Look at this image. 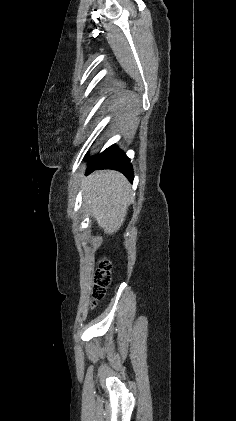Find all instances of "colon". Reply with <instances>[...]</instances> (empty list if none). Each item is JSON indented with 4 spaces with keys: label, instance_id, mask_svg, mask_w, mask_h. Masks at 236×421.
I'll return each mask as SVG.
<instances>
[{
    "label": "colon",
    "instance_id": "obj_1",
    "mask_svg": "<svg viewBox=\"0 0 236 421\" xmlns=\"http://www.w3.org/2000/svg\"><path fill=\"white\" fill-rule=\"evenodd\" d=\"M112 265L108 260H102L94 277V286L92 291L93 304L103 299L106 289L111 282Z\"/></svg>",
    "mask_w": 236,
    "mask_h": 421
}]
</instances>
